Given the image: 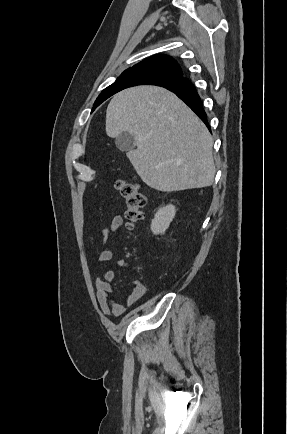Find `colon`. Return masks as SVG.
I'll list each match as a JSON object with an SVG mask.
<instances>
[{"label":"colon","mask_w":287,"mask_h":434,"mask_svg":"<svg viewBox=\"0 0 287 434\" xmlns=\"http://www.w3.org/2000/svg\"><path fill=\"white\" fill-rule=\"evenodd\" d=\"M115 188L125 200V218L129 227L144 218L145 197L141 192L140 184L125 179L115 182Z\"/></svg>","instance_id":"colon-1"}]
</instances>
